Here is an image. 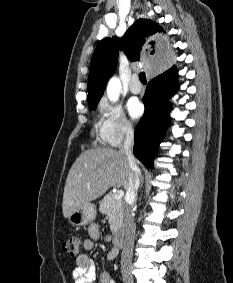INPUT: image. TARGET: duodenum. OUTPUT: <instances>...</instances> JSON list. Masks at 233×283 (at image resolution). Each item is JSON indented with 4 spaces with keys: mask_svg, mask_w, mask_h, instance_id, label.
<instances>
[{
    "mask_svg": "<svg viewBox=\"0 0 233 283\" xmlns=\"http://www.w3.org/2000/svg\"><path fill=\"white\" fill-rule=\"evenodd\" d=\"M123 242H124V233L123 232H118L116 234L115 241H114L115 249L117 251L122 247Z\"/></svg>",
    "mask_w": 233,
    "mask_h": 283,
    "instance_id": "1",
    "label": "duodenum"
}]
</instances>
